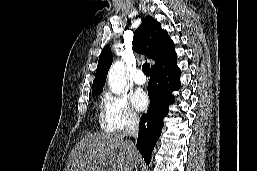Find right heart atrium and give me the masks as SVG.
<instances>
[{
    "label": "right heart atrium",
    "mask_w": 257,
    "mask_h": 171,
    "mask_svg": "<svg viewBox=\"0 0 257 171\" xmlns=\"http://www.w3.org/2000/svg\"><path fill=\"white\" fill-rule=\"evenodd\" d=\"M101 118L110 131H122L139 122V115L125 94L105 92L101 101Z\"/></svg>",
    "instance_id": "1"
}]
</instances>
